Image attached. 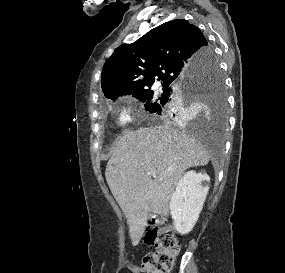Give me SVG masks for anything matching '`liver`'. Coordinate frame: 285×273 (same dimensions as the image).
I'll return each mask as SVG.
<instances>
[{
	"mask_svg": "<svg viewBox=\"0 0 285 273\" xmlns=\"http://www.w3.org/2000/svg\"><path fill=\"white\" fill-rule=\"evenodd\" d=\"M209 161L199 141L170 123L140 128L119 138L105 177L127 218L133 245L139 243L150 212L169 213V201L186 169Z\"/></svg>",
	"mask_w": 285,
	"mask_h": 273,
	"instance_id": "6515ba94",
	"label": "liver"
}]
</instances>
